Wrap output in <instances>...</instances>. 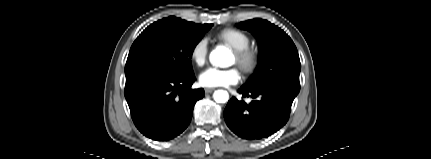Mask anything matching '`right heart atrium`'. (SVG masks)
I'll use <instances>...</instances> for the list:
<instances>
[{
	"label": "right heart atrium",
	"mask_w": 431,
	"mask_h": 159,
	"mask_svg": "<svg viewBox=\"0 0 431 159\" xmlns=\"http://www.w3.org/2000/svg\"><path fill=\"white\" fill-rule=\"evenodd\" d=\"M208 54V41L206 38L197 40L190 49V59L197 66H202L206 62Z\"/></svg>",
	"instance_id": "1"
}]
</instances>
